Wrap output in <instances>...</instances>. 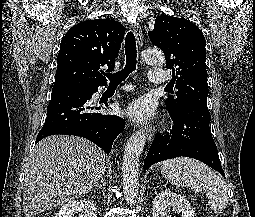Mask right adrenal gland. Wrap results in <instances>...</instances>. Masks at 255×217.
<instances>
[{
	"mask_svg": "<svg viewBox=\"0 0 255 217\" xmlns=\"http://www.w3.org/2000/svg\"><path fill=\"white\" fill-rule=\"evenodd\" d=\"M99 183L101 184V186H103V188L105 187L104 177H103V176L101 177L100 181L96 183V185H95V186H98V185H99Z\"/></svg>",
	"mask_w": 255,
	"mask_h": 217,
	"instance_id": "2a0ac1e0",
	"label": "right adrenal gland"
}]
</instances>
